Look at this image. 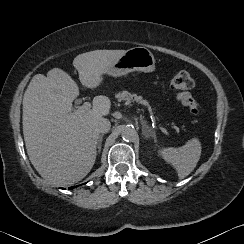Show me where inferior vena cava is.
<instances>
[{
  "label": "inferior vena cava",
  "instance_id": "inferior-vena-cava-1",
  "mask_svg": "<svg viewBox=\"0 0 244 244\" xmlns=\"http://www.w3.org/2000/svg\"><path fill=\"white\" fill-rule=\"evenodd\" d=\"M95 127L98 133H106L110 130L111 123L108 119L101 117L95 122Z\"/></svg>",
  "mask_w": 244,
  "mask_h": 244
}]
</instances>
